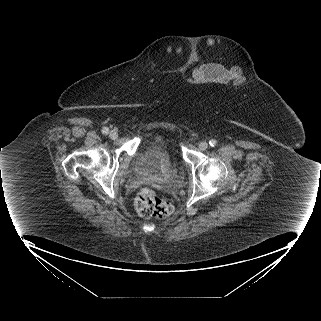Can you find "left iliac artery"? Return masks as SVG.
Returning <instances> with one entry per match:
<instances>
[{
  "instance_id": "44dca946",
  "label": "left iliac artery",
  "mask_w": 321,
  "mask_h": 321,
  "mask_svg": "<svg viewBox=\"0 0 321 321\" xmlns=\"http://www.w3.org/2000/svg\"><path fill=\"white\" fill-rule=\"evenodd\" d=\"M209 145H210L211 147H215V146L217 145V141L214 140V139H212V140L209 141Z\"/></svg>"
}]
</instances>
